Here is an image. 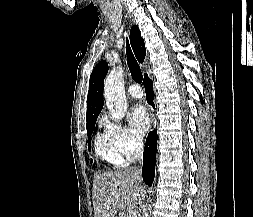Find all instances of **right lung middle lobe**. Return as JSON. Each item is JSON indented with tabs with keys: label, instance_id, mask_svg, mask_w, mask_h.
I'll return each instance as SVG.
<instances>
[{
	"label": "right lung middle lobe",
	"instance_id": "right-lung-middle-lobe-1",
	"mask_svg": "<svg viewBox=\"0 0 253 217\" xmlns=\"http://www.w3.org/2000/svg\"><path fill=\"white\" fill-rule=\"evenodd\" d=\"M95 123H96V119L87 122V134H88V138H89L88 139V148H89V150H91V135L93 133Z\"/></svg>",
	"mask_w": 253,
	"mask_h": 217
}]
</instances>
